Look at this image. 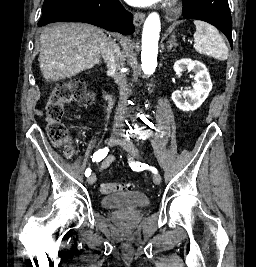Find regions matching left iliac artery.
<instances>
[{
  "mask_svg": "<svg viewBox=\"0 0 256 267\" xmlns=\"http://www.w3.org/2000/svg\"><path fill=\"white\" fill-rule=\"evenodd\" d=\"M133 170H143V169H150L153 173H157V169L154 167H149L147 164L141 162H131L129 163Z\"/></svg>",
  "mask_w": 256,
  "mask_h": 267,
  "instance_id": "left-iliac-artery-1",
  "label": "left iliac artery"
}]
</instances>
